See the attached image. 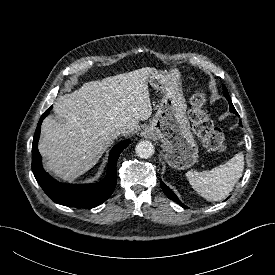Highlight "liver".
Returning <instances> with one entry per match:
<instances>
[{
    "instance_id": "liver-1",
    "label": "liver",
    "mask_w": 275,
    "mask_h": 275,
    "mask_svg": "<svg viewBox=\"0 0 275 275\" xmlns=\"http://www.w3.org/2000/svg\"><path fill=\"white\" fill-rule=\"evenodd\" d=\"M151 67L91 81L54 104L57 116L41 125L38 149L45 167L73 181L90 170L125 127L131 134L152 114L147 80Z\"/></svg>"
}]
</instances>
